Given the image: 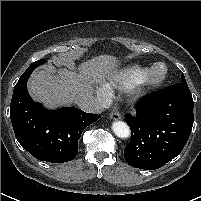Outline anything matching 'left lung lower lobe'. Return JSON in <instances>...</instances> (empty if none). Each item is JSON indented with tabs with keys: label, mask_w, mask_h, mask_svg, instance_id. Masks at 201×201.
Here are the masks:
<instances>
[{
	"label": "left lung lower lobe",
	"mask_w": 201,
	"mask_h": 201,
	"mask_svg": "<svg viewBox=\"0 0 201 201\" xmlns=\"http://www.w3.org/2000/svg\"><path fill=\"white\" fill-rule=\"evenodd\" d=\"M193 98L187 84L175 83L137 105L136 116H126L131 139L124 149L127 163L155 170L178 156L192 130Z\"/></svg>",
	"instance_id": "obj_1"
}]
</instances>
